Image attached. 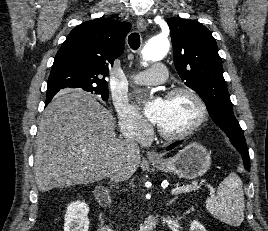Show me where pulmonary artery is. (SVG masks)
Segmentation results:
<instances>
[{"mask_svg":"<svg viewBox=\"0 0 268 231\" xmlns=\"http://www.w3.org/2000/svg\"><path fill=\"white\" fill-rule=\"evenodd\" d=\"M167 69L165 65H157L153 68L140 72L132 78L137 84H159L166 78Z\"/></svg>","mask_w":268,"mask_h":231,"instance_id":"1","label":"pulmonary artery"}]
</instances>
